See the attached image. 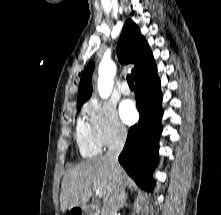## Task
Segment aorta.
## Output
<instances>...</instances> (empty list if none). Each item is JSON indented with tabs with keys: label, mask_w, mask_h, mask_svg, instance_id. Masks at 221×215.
<instances>
[{
	"label": "aorta",
	"mask_w": 221,
	"mask_h": 215,
	"mask_svg": "<svg viewBox=\"0 0 221 215\" xmlns=\"http://www.w3.org/2000/svg\"><path fill=\"white\" fill-rule=\"evenodd\" d=\"M98 91L102 98H108L114 85L116 65L111 60H103L99 65Z\"/></svg>",
	"instance_id": "aorta-1"
}]
</instances>
